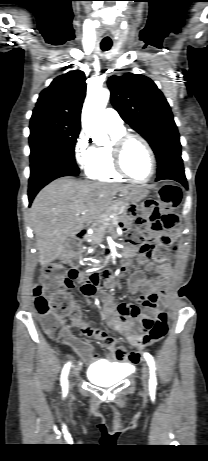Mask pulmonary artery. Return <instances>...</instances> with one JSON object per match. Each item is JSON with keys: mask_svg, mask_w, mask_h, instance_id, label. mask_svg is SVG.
Instances as JSON below:
<instances>
[{"mask_svg": "<svg viewBox=\"0 0 208 461\" xmlns=\"http://www.w3.org/2000/svg\"><path fill=\"white\" fill-rule=\"evenodd\" d=\"M103 123L108 129H121L123 128V120L117 111L107 108L103 114Z\"/></svg>", "mask_w": 208, "mask_h": 461, "instance_id": "e3ab8cb5", "label": "pulmonary artery"}]
</instances>
